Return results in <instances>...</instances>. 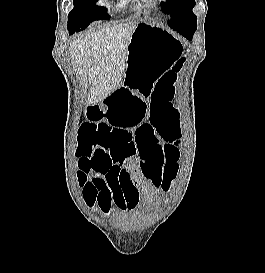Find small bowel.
Wrapping results in <instances>:
<instances>
[{
  "label": "small bowel",
  "mask_w": 265,
  "mask_h": 273,
  "mask_svg": "<svg viewBox=\"0 0 265 273\" xmlns=\"http://www.w3.org/2000/svg\"><path fill=\"white\" fill-rule=\"evenodd\" d=\"M145 103L142 95L118 90L102 105L88 104L92 109L86 118L96 124L77 125L78 129H109L110 144L105 151L107 167L102 171L89 170L93 173L89 183L94 192L87 194L88 203L96 204L107 216L112 214L114 206L123 212L136 209L140 203L138 186L145 190L149 185L158 187L152 174L162 171L165 142L158 138L159 132L149 127V121L142 122L148 112ZM86 161L92 163L90 157H86Z\"/></svg>",
  "instance_id": "small-bowel-1"
}]
</instances>
